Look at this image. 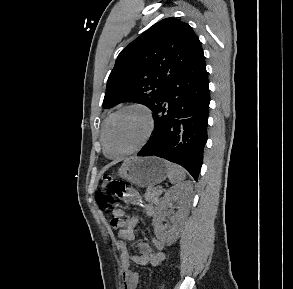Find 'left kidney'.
<instances>
[{"mask_svg": "<svg viewBox=\"0 0 293 289\" xmlns=\"http://www.w3.org/2000/svg\"><path fill=\"white\" fill-rule=\"evenodd\" d=\"M191 190V185L188 182L170 188L164 195L163 200L157 209L153 218V227L156 237L166 245L173 244L179 237L182 221L185 217L187 209V196ZM174 200H178L180 206L179 211L172 217V225L169 227L163 226L162 222L165 217V209L172 205Z\"/></svg>", "mask_w": 293, "mask_h": 289, "instance_id": "left-kidney-1", "label": "left kidney"}]
</instances>
